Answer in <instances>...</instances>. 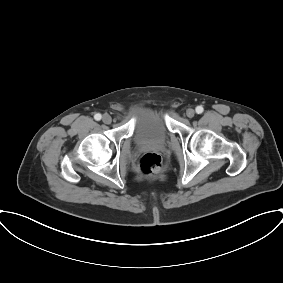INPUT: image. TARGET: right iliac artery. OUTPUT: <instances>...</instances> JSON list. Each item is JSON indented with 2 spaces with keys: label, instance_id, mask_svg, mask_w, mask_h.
<instances>
[{
  "label": "right iliac artery",
  "instance_id": "1",
  "mask_svg": "<svg viewBox=\"0 0 283 283\" xmlns=\"http://www.w3.org/2000/svg\"><path fill=\"white\" fill-rule=\"evenodd\" d=\"M94 118H95V120L99 121V120H101L102 116H101V114L97 113V114L94 115Z\"/></svg>",
  "mask_w": 283,
  "mask_h": 283
}]
</instances>
